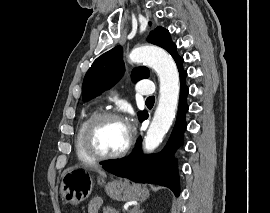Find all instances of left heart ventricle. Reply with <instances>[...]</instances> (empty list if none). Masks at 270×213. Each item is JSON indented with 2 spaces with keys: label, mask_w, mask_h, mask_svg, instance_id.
<instances>
[{
  "label": "left heart ventricle",
  "mask_w": 270,
  "mask_h": 213,
  "mask_svg": "<svg viewBox=\"0 0 270 213\" xmlns=\"http://www.w3.org/2000/svg\"><path fill=\"white\" fill-rule=\"evenodd\" d=\"M128 138L129 131L124 121L107 120L97 129L94 144L99 152L113 154L126 146Z\"/></svg>",
  "instance_id": "obj_1"
}]
</instances>
